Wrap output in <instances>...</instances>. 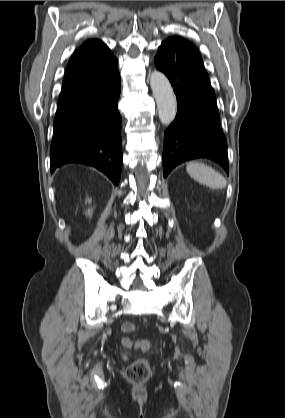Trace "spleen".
Listing matches in <instances>:
<instances>
[{
	"label": "spleen",
	"instance_id": "obj_1",
	"mask_svg": "<svg viewBox=\"0 0 285 418\" xmlns=\"http://www.w3.org/2000/svg\"><path fill=\"white\" fill-rule=\"evenodd\" d=\"M186 170L199 183L212 189H223L227 185L226 179L212 167L199 162H189Z\"/></svg>",
	"mask_w": 285,
	"mask_h": 418
}]
</instances>
